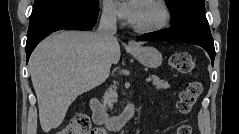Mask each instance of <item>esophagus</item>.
I'll return each instance as SVG.
<instances>
[{"mask_svg": "<svg viewBox=\"0 0 239 134\" xmlns=\"http://www.w3.org/2000/svg\"><path fill=\"white\" fill-rule=\"evenodd\" d=\"M136 46H137V43H136L134 40H130V41L128 42V47L134 48V47H136Z\"/></svg>", "mask_w": 239, "mask_h": 134, "instance_id": "1", "label": "esophagus"}]
</instances>
